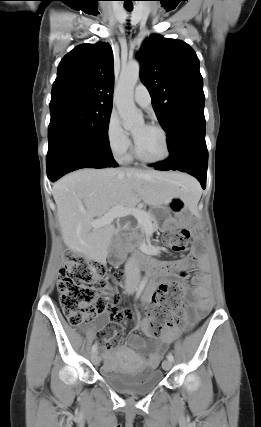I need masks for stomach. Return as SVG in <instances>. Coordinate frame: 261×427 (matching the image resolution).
<instances>
[{
	"label": "stomach",
	"instance_id": "1",
	"mask_svg": "<svg viewBox=\"0 0 261 427\" xmlns=\"http://www.w3.org/2000/svg\"><path fill=\"white\" fill-rule=\"evenodd\" d=\"M186 207H187V203L185 202V200L180 196H176V197H173L171 201L161 209L163 212L171 211L174 213H181L186 209ZM159 213H160V210H155L154 211L155 217H158Z\"/></svg>",
	"mask_w": 261,
	"mask_h": 427
}]
</instances>
